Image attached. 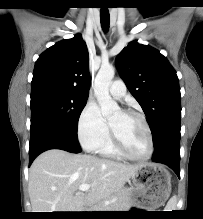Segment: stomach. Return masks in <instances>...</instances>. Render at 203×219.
Returning a JSON list of instances; mask_svg holds the SVG:
<instances>
[{
  "instance_id": "obj_1",
  "label": "stomach",
  "mask_w": 203,
  "mask_h": 219,
  "mask_svg": "<svg viewBox=\"0 0 203 219\" xmlns=\"http://www.w3.org/2000/svg\"><path fill=\"white\" fill-rule=\"evenodd\" d=\"M132 183L130 205L155 209L165 203L171 192V175L160 164L140 165L132 176Z\"/></svg>"
}]
</instances>
